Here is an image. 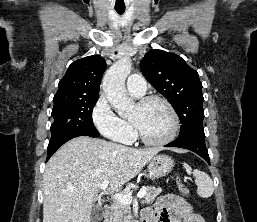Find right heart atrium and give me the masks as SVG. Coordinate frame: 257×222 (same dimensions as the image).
Masks as SVG:
<instances>
[{
  "mask_svg": "<svg viewBox=\"0 0 257 222\" xmlns=\"http://www.w3.org/2000/svg\"><path fill=\"white\" fill-rule=\"evenodd\" d=\"M100 108H105L107 110H110L109 104L106 98L103 96L100 97L98 102L96 103V106L93 110V115H92L94 125L96 126L98 131L103 136L110 138L114 141H118L120 143H129L133 138V134H134L133 127L129 123L123 121L117 116H114L116 120L115 126L109 127V128L102 127L100 124H98L96 120V111Z\"/></svg>",
  "mask_w": 257,
  "mask_h": 222,
  "instance_id": "right-heart-atrium-1",
  "label": "right heart atrium"
}]
</instances>
